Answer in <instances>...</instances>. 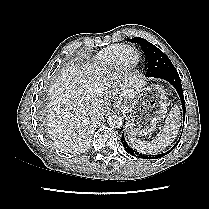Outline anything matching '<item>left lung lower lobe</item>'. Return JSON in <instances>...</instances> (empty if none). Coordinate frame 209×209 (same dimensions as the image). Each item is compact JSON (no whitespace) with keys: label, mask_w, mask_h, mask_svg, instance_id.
I'll return each mask as SVG.
<instances>
[{"label":"left lung lower lobe","mask_w":209,"mask_h":209,"mask_svg":"<svg viewBox=\"0 0 209 209\" xmlns=\"http://www.w3.org/2000/svg\"><path fill=\"white\" fill-rule=\"evenodd\" d=\"M154 77L166 80V81H168L169 83H171L174 86V88L176 89V91L178 92V94L180 96L181 103H182L183 114H184V118H185V111H186V109H185V101H184V96H183V90H182L180 77H179L178 72L176 71V69L163 71V72L155 75ZM121 141H122V144H123L125 150L128 153H130L133 156H138V157L143 158V159H158L160 157H163V156L167 155L169 152H171L176 147V145L178 144V142H177L171 148V150H169L166 153H162V154H158V155H144V154H141V153L139 154L138 152H136L132 148H130V146H128V144L126 143L123 134H122Z\"/></svg>","instance_id":"0a47b994"}]
</instances>
